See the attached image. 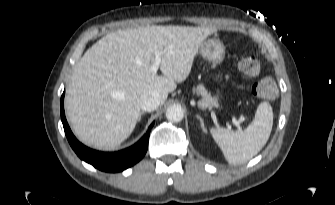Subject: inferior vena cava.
Instances as JSON below:
<instances>
[{
    "mask_svg": "<svg viewBox=\"0 0 335 205\" xmlns=\"http://www.w3.org/2000/svg\"><path fill=\"white\" fill-rule=\"evenodd\" d=\"M160 105V97L158 92L154 90L146 91L140 98V107L143 111H154Z\"/></svg>",
    "mask_w": 335,
    "mask_h": 205,
    "instance_id": "obj_1",
    "label": "inferior vena cava"
}]
</instances>
